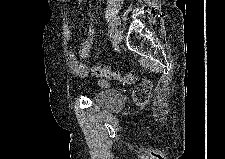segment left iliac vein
Instances as JSON below:
<instances>
[{
    "label": "left iliac vein",
    "instance_id": "4c4485c4",
    "mask_svg": "<svg viewBox=\"0 0 225 159\" xmlns=\"http://www.w3.org/2000/svg\"><path fill=\"white\" fill-rule=\"evenodd\" d=\"M123 34L120 30L116 29L115 32L113 33V39L116 45H119L120 42L122 41Z\"/></svg>",
    "mask_w": 225,
    "mask_h": 159
}]
</instances>
